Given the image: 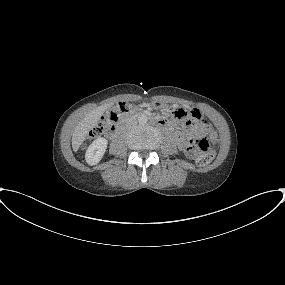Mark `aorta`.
Segmentation results:
<instances>
[{"label": "aorta", "mask_w": 285, "mask_h": 285, "mask_svg": "<svg viewBox=\"0 0 285 285\" xmlns=\"http://www.w3.org/2000/svg\"><path fill=\"white\" fill-rule=\"evenodd\" d=\"M148 121V117L144 114H141L139 117H138V122L140 124H146Z\"/></svg>", "instance_id": "aorta-1"}]
</instances>
